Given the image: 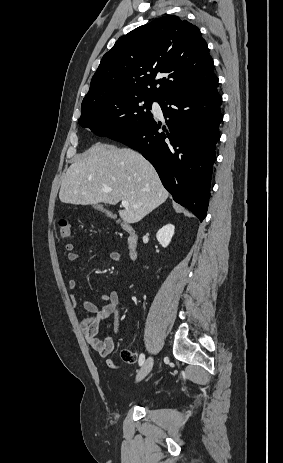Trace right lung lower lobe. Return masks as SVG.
<instances>
[{
  "label": "right lung lower lobe",
  "instance_id": "1",
  "mask_svg": "<svg viewBox=\"0 0 283 463\" xmlns=\"http://www.w3.org/2000/svg\"><path fill=\"white\" fill-rule=\"evenodd\" d=\"M218 78L160 99L168 129L152 117L111 139L139 151L156 169L174 201L202 220L207 214L222 97Z\"/></svg>",
  "mask_w": 283,
  "mask_h": 463
}]
</instances>
